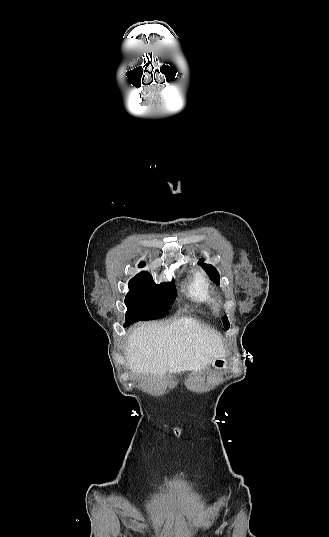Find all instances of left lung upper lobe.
<instances>
[{
  "label": "left lung upper lobe",
  "instance_id": "left-lung-upper-lobe-1",
  "mask_svg": "<svg viewBox=\"0 0 329 537\" xmlns=\"http://www.w3.org/2000/svg\"><path fill=\"white\" fill-rule=\"evenodd\" d=\"M203 261H204V259L201 258L199 263L201 264L203 269L206 271V273L208 274L210 279L213 280L216 283H220V275L217 272L216 268L213 267L211 264H204ZM224 324H225V328L229 329L230 324H229V321H228L227 318L224 319Z\"/></svg>",
  "mask_w": 329,
  "mask_h": 537
}]
</instances>
